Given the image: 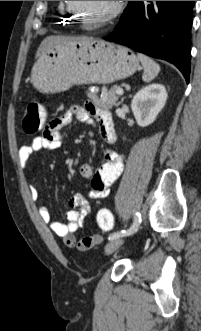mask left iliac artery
Masks as SVG:
<instances>
[{
  "instance_id": "obj_1",
  "label": "left iliac artery",
  "mask_w": 201,
  "mask_h": 331,
  "mask_svg": "<svg viewBox=\"0 0 201 331\" xmlns=\"http://www.w3.org/2000/svg\"><path fill=\"white\" fill-rule=\"evenodd\" d=\"M140 223H141V215L139 212H135L134 213V222H133L132 226L128 230H122V231H117V232L112 233L108 237V239L113 240L115 238L133 234L134 232H136L138 230Z\"/></svg>"
}]
</instances>
